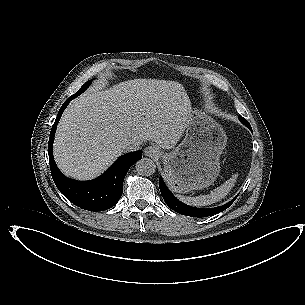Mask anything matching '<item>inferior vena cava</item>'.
Listing matches in <instances>:
<instances>
[{
  "label": "inferior vena cava",
  "mask_w": 305,
  "mask_h": 305,
  "mask_svg": "<svg viewBox=\"0 0 305 305\" xmlns=\"http://www.w3.org/2000/svg\"><path fill=\"white\" fill-rule=\"evenodd\" d=\"M141 142L133 140V139H128L123 143V149L126 152H133V151H137L140 149L141 146Z\"/></svg>",
  "instance_id": "obj_1"
}]
</instances>
